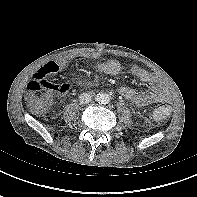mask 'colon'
Returning <instances> with one entry per match:
<instances>
[{"label":"colon","mask_w":197,"mask_h":197,"mask_svg":"<svg viewBox=\"0 0 197 197\" xmlns=\"http://www.w3.org/2000/svg\"><path fill=\"white\" fill-rule=\"evenodd\" d=\"M70 85L47 81L44 77L34 78L28 84L29 104L36 112H44L51 104V93L65 94ZM171 114V107L167 104L157 106L152 117L157 121L166 120Z\"/></svg>","instance_id":"5ec220e1"}]
</instances>
